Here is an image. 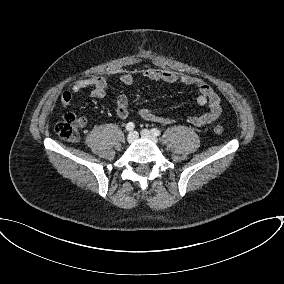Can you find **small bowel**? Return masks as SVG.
<instances>
[{
	"label": "small bowel",
	"mask_w": 284,
	"mask_h": 284,
	"mask_svg": "<svg viewBox=\"0 0 284 284\" xmlns=\"http://www.w3.org/2000/svg\"><path fill=\"white\" fill-rule=\"evenodd\" d=\"M143 76L156 81L164 83H181L185 86L194 87L197 89V104L199 106H206L208 111L200 115H194L189 117L188 122L196 127L210 124L216 121L221 113V98L213 90V88L200 78L179 74L170 70H160L148 68L143 70ZM118 79L125 85H130L133 81V76L128 71H120L118 73ZM110 86L109 79L105 76L92 75L86 78L76 80L62 93L61 103L65 109L70 107L72 98L81 94L84 90L90 89V96L95 99L103 98ZM116 114L120 120H126L128 118V98L126 95L121 94L116 99ZM139 116L146 121L155 122L163 125H169L173 123V119L165 116L158 115L148 108H141L138 111ZM80 127H84L87 124L85 117L78 119Z\"/></svg>",
	"instance_id": "1"
}]
</instances>
